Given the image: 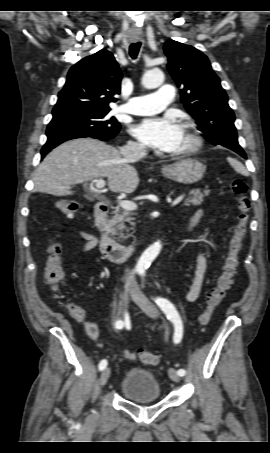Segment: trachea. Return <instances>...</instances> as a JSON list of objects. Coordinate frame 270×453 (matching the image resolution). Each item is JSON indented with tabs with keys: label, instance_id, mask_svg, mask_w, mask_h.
Segmentation results:
<instances>
[{
	"label": "trachea",
	"instance_id": "1",
	"mask_svg": "<svg viewBox=\"0 0 270 453\" xmlns=\"http://www.w3.org/2000/svg\"><path fill=\"white\" fill-rule=\"evenodd\" d=\"M140 47H141V43L140 42L132 43L130 45L129 54H130L132 59H136L137 58L139 50H140Z\"/></svg>",
	"mask_w": 270,
	"mask_h": 453
}]
</instances>
